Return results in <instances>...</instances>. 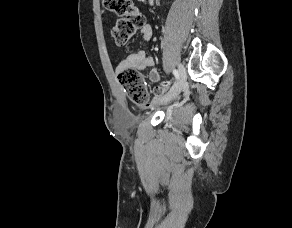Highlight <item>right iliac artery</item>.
I'll return each mask as SVG.
<instances>
[{"label":"right iliac artery","instance_id":"obj_1","mask_svg":"<svg viewBox=\"0 0 292 228\" xmlns=\"http://www.w3.org/2000/svg\"><path fill=\"white\" fill-rule=\"evenodd\" d=\"M173 74L175 76L176 79H179V72L176 69H173Z\"/></svg>","mask_w":292,"mask_h":228}]
</instances>
